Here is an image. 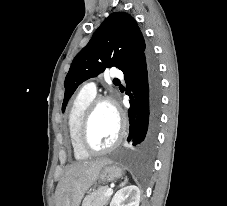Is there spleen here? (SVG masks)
Returning a JSON list of instances; mask_svg holds the SVG:
<instances>
[{
    "label": "spleen",
    "instance_id": "obj_1",
    "mask_svg": "<svg viewBox=\"0 0 227 206\" xmlns=\"http://www.w3.org/2000/svg\"><path fill=\"white\" fill-rule=\"evenodd\" d=\"M127 181V178L125 179V182ZM125 182L124 183H122V185H124L125 184Z\"/></svg>",
    "mask_w": 227,
    "mask_h": 206
}]
</instances>
